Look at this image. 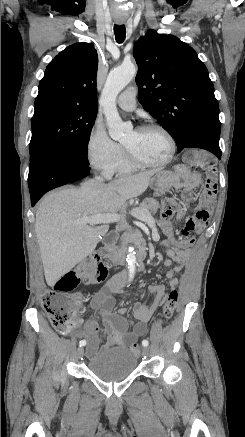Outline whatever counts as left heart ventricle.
<instances>
[{
  "mask_svg": "<svg viewBox=\"0 0 245 437\" xmlns=\"http://www.w3.org/2000/svg\"><path fill=\"white\" fill-rule=\"evenodd\" d=\"M125 145L135 156L145 161H161L169 153V143L158 130L130 131L123 140Z\"/></svg>",
  "mask_w": 245,
  "mask_h": 437,
  "instance_id": "left-heart-ventricle-1",
  "label": "left heart ventricle"
}]
</instances>
